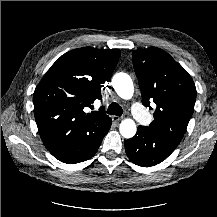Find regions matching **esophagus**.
I'll return each mask as SVG.
<instances>
[{"label":"esophagus","mask_w":217,"mask_h":217,"mask_svg":"<svg viewBox=\"0 0 217 217\" xmlns=\"http://www.w3.org/2000/svg\"><path fill=\"white\" fill-rule=\"evenodd\" d=\"M112 120H113L114 122H118V121L121 120V118L118 117V116H112Z\"/></svg>","instance_id":"1"}]
</instances>
